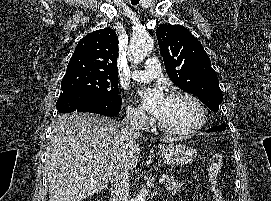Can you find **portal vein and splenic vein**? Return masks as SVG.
I'll use <instances>...</instances> for the list:
<instances>
[{
	"label": "portal vein and splenic vein",
	"mask_w": 271,
	"mask_h": 201,
	"mask_svg": "<svg viewBox=\"0 0 271 201\" xmlns=\"http://www.w3.org/2000/svg\"><path fill=\"white\" fill-rule=\"evenodd\" d=\"M95 163H99V161L97 160V161H95ZM165 182V179L164 178H160L159 179V183H164Z\"/></svg>",
	"instance_id": "portal-vein-and-splenic-vein-1"
}]
</instances>
